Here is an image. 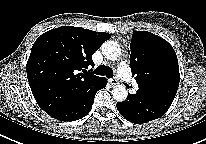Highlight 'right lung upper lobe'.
Returning a JSON list of instances; mask_svg holds the SVG:
<instances>
[{
    "label": "right lung upper lobe",
    "mask_w": 206,
    "mask_h": 144,
    "mask_svg": "<svg viewBox=\"0 0 206 144\" xmlns=\"http://www.w3.org/2000/svg\"><path fill=\"white\" fill-rule=\"evenodd\" d=\"M110 38L106 32L62 26L36 40L26 71L33 96L46 113L71 102L101 78L86 69L94 65V52Z\"/></svg>",
    "instance_id": "right-lung-upper-lobe-1"
}]
</instances>
